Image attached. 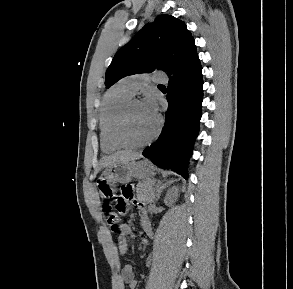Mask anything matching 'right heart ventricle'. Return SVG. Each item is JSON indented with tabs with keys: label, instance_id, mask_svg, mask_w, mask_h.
I'll return each mask as SVG.
<instances>
[{
	"label": "right heart ventricle",
	"instance_id": "obj_1",
	"mask_svg": "<svg viewBox=\"0 0 293 289\" xmlns=\"http://www.w3.org/2000/svg\"><path fill=\"white\" fill-rule=\"evenodd\" d=\"M132 96L121 83L105 94L99 114L100 142L104 152L110 153L121 148L113 137L114 124L121 108Z\"/></svg>",
	"mask_w": 293,
	"mask_h": 289
}]
</instances>
